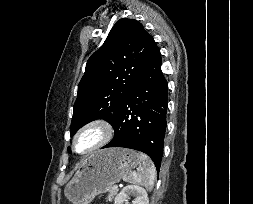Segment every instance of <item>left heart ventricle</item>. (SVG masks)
I'll return each mask as SVG.
<instances>
[{"mask_svg":"<svg viewBox=\"0 0 253 204\" xmlns=\"http://www.w3.org/2000/svg\"><path fill=\"white\" fill-rule=\"evenodd\" d=\"M101 137L99 129L93 128L82 133L77 140V150L84 152L93 146Z\"/></svg>","mask_w":253,"mask_h":204,"instance_id":"1","label":"left heart ventricle"}]
</instances>
